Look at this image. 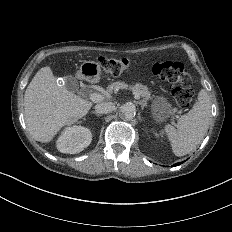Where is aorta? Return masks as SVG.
Wrapping results in <instances>:
<instances>
[{
	"mask_svg": "<svg viewBox=\"0 0 232 232\" xmlns=\"http://www.w3.org/2000/svg\"><path fill=\"white\" fill-rule=\"evenodd\" d=\"M120 111L126 119H132L136 115V107L133 103L122 105Z\"/></svg>",
	"mask_w": 232,
	"mask_h": 232,
	"instance_id": "1",
	"label": "aorta"
}]
</instances>
